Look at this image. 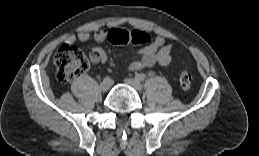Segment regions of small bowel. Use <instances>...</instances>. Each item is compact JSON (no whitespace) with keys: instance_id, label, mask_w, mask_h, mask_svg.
<instances>
[{"instance_id":"obj_1","label":"small bowel","mask_w":259,"mask_h":156,"mask_svg":"<svg viewBox=\"0 0 259 156\" xmlns=\"http://www.w3.org/2000/svg\"><path fill=\"white\" fill-rule=\"evenodd\" d=\"M111 30L100 29L92 36L87 31H81L77 35V39L81 42H86L92 37L96 43H102L108 39V34ZM75 40L76 37L73 35L67 37L68 43H73ZM172 50V44L168 43L164 37L157 36L149 45L142 47L137 51L140 57L130 63L129 69L137 71L143 68L152 67L156 64L162 67H169L172 62ZM90 60L93 63L105 62L107 60V53L101 47L96 46L90 53Z\"/></svg>"}]
</instances>
